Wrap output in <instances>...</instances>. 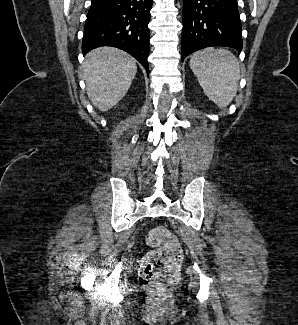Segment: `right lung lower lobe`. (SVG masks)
<instances>
[{"label":"right lung lower lobe","instance_id":"98d812e1","mask_svg":"<svg viewBox=\"0 0 298 325\" xmlns=\"http://www.w3.org/2000/svg\"><path fill=\"white\" fill-rule=\"evenodd\" d=\"M153 0H92L84 27L82 53L100 46L120 48L149 74L150 10Z\"/></svg>","mask_w":298,"mask_h":325}]
</instances>
